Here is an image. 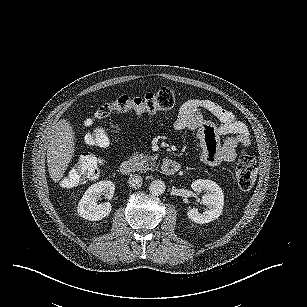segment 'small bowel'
<instances>
[{
	"label": "small bowel",
	"mask_w": 307,
	"mask_h": 307,
	"mask_svg": "<svg viewBox=\"0 0 307 307\" xmlns=\"http://www.w3.org/2000/svg\"><path fill=\"white\" fill-rule=\"evenodd\" d=\"M204 112L215 117V125L204 117ZM177 130L196 131L202 148V160L211 166L235 160L238 146L248 147L250 135L247 126L221 105L206 99H190L182 104L173 119ZM227 136L224 142L221 137Z\"/></svg>",
	"instance_id": "small-bowel-1"
}]
</instances>
